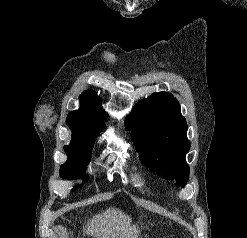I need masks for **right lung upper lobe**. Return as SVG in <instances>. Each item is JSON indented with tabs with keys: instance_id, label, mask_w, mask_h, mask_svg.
<instances>
[{
	"instance_id": "1",
	"label": "right lung upper lobe",
	"mask_w": 247,
	"mask_h": 238,
	"mask_svg": "<svg viewBox=\"0 0 247 238\" xmlns=\"http://www.w3.org/2000/svg\"><path fill=\"white\" fill-rule=\"evenodd\" d=\"M80 102L79 110L70 112L66 119L72 131L71 143L93 146L96 134L104 128V110L94 91H84L80 95Z\"/></svg>"
}]
</instances>
